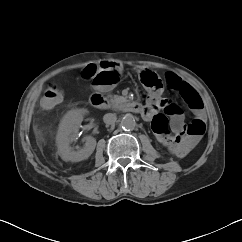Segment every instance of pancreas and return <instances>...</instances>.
Here are the masks:
<instances>
[{"label":"pancreas","instance_id":"1","mask_svg":"<svg viewBox=\"0 0 242 242\" xmlns=\"http://www.w3.org/2000/svg\"><path fill=\"white\" fill-rule=\"evenodd\" d=\"M109 97H110V102L113 109L119 108L122 103L126 102V99L122 96L111 95Z\"/></svg>","mask_w":242,"mask_h":242}]
</instances>
